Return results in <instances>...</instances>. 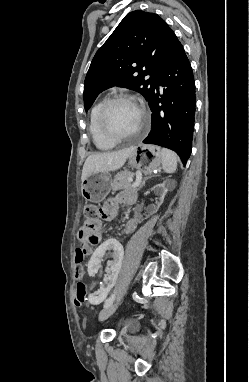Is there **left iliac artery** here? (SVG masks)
I'll list each match as a JSON object with an SVG mask.
<instances>
[{
  "label": "left iliac artery",
  "instance_id": "left-iliac-artery-1",
  "mask_svg": "<svg viewBox=\"0 0 249 382\" xmlns=\"http://www.w3.org/2000/svg\"><path fill=\"white\" fill-rule=\"evenodd\" d=\"M114 299H115V292L113 294H111V296L105 301L104 308L111 305L113 303Z\"/></svg>",
  "mask_w": 249,
  "mask_h": 382
}]
</instances>
